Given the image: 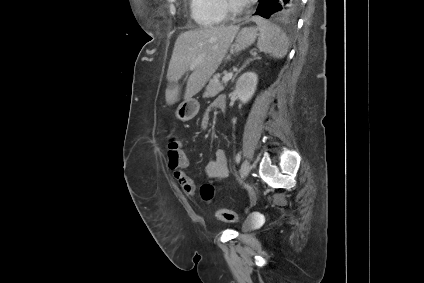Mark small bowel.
Masks as SVG:
<instances>
[{"label": "small bowel", "mask_w": 424, "mask_h": 283, "mask_svg": "<svg viewBox=\"0 0 424 283\" xmlns=\"http://www.w3.org/2000/svg\"><path fill=\"white\" fill-rule=\"evenodd\" d=\"M224 97H218L211 105L210 108H216L219 107V104L221 100H223ZM208 124V115L206 114L202 119V127L205 128ZM180 152L183 156L184 162L177 167H172L168 164L170 169L173 170V177L181 187V189L184 191L185 194H187L190 197H193L196 193V185L193 182V180L186 174L184 171V168L188 164V159L185 154V152L180 149ZM205 173L206 176L210 179H217V180H223L228 176L229 169H228V160L227 156L224 150L217 149L215 151L214 159L211 160L205 167Z\"/></svg>", "instance_id": "small-bowel-1"}]
</instances>
